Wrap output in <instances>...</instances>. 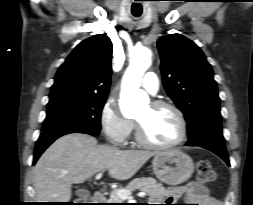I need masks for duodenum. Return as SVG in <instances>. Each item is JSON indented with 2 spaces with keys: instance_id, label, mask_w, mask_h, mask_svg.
I'll list each match as a JSON object with an SVG mask.
<instances>
[{
  "instance_id": "1",
  "label": "duodenum",
  "mask_w": 253,
  "mask_h": 205,
  "mask_svg": "<svg viewBox=\"0 0 253 205\" xmlns=\"http://www.w3.org/2000/svg\"><path fill=\"white\" fill-rule=\"evenodd\" d=\"M93 200L96 202V203H102L105 201V195L102 191H96L94 194H93Z\"/></svg>"
}]
</instances>
